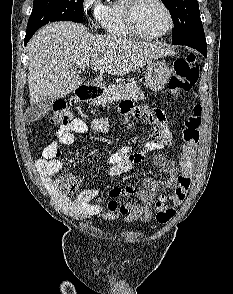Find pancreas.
Masks as SVG:
<instances>
[{
	"instance_id": "pancreas-1",
	"label": "pancreas",
	"mask_w": 233,
	"mask_h": 294,
	"mask_svg": "<svg viewBox=\"0 0 233 294\" xmlns=\"http://www.w3.org/2000/svg\"><path fill=\"white\" fill-rule=\"evenodd\" d=\"M144 97V92H142L134 82H119L110 84L106 89H104L103 95L96 99L95 102L99 104H106L119 99L138 101L143 100Z\"/></svg>"
}]
</instances>
